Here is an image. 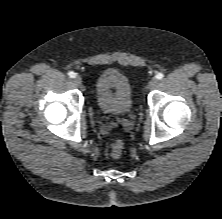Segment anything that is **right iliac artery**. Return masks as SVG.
<instances>
[{"label":"right iliac artery","instance_id":"1","mask_svg":"<svg viewBox=\"0 0 222 219\" xmlns=\"http://www.w3.org/2000/svg\"><path fill=\"white\" fill-rule=\"evenodd\" d=\"M70 78H75L76 77V73H74L73 71L68 73Z\"/></svg>","mask_w":222,"mask_h":219}]
</instances>
